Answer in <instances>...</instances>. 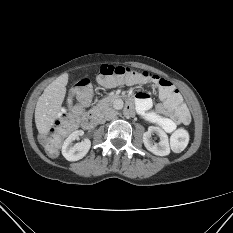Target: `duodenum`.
<instances>
[{
	"label": "duodenum",
	"mask_w": 233,
	"mask_h": 233,
	"mask_svg": "<svg viewBox=\"0 0 233 233\" xmlns=\"http://www.w3.org/2000/svg\"><path fill=\"white\" fill-rule=\"evenodd\" d=\"M126 110L129 113H132L134 110V106L132 102L127 99L126 100ZM100 119V113L99 112H89L82 120V126L85 129H92L94 128Z\"/></svg>",
	"instance_id": "duodenum-1"
}]
</instances>
